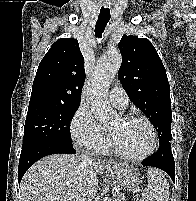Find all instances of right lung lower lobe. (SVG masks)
Here are the masks:
<instances>
[{
	"instance_id": "obj_1",
	"label": "right lung lower lobe",
	"mask_w": 196,
	"mask_h": 201,
	"mask_svg": "<svg viewBox=\"0 0 196 201\" xmlns=\"http://www.w3.org/2000/svg\"><path fill=\"white\" fill-rule=\"evenodd\" d=\"M56 153L74 154L76 150L73 148V145L68 146L51 141H37L23 146L19 160V182L33 163L44 156Z\"/></svg>"
}]
</instances>
